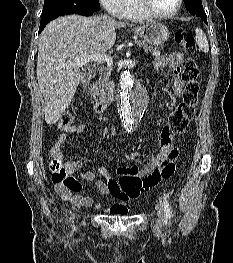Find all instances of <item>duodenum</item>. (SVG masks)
Segmentation results:
<instances>
[{"label": "duodenum", "instance_id": "obj_1", "mask_svg": "<svg viewBox=\"0 0 233 263\" xmlns=\"http://www.w3.org/2000/svg\"><path fill=\"white\" fill-rule=\"evenodd\" d=\"M94 76V70L86 71L83 75V83L85 85H88L92 81ZM113 84L114 79H110L104 80V82H100L99 85L93 87L90 97L96 102L94 105L95 112L102 113L109 106V104L112 103L111 96L107 94H112V91H115V88L111 89V86H108Z\"/></svg>", "mask_w": 233, "mask_h": 263}]
</instances>
